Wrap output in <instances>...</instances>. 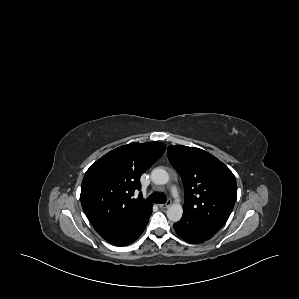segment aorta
I'll return each instance as SVG.
<instances>
[{
	"mask_svg": "<svg viewBox=\"0 0 299 299\" xmlns=\"http://www.w3.org/2000/svg\"><path fill=\"white\" fill-rule=\"evenodd\" d=\"M151 180L154 184L164 185L169 182V174L163 168L157 167L151 172ZM167 217L172 222H178L183 215L182 205L179 203H174L167 209Z\"/></svg>",
	"mask_w": 299,
	"mask_h": 299,
	"instance_id": "obj_1",
	"label": "aorta"
}]
</instances>
